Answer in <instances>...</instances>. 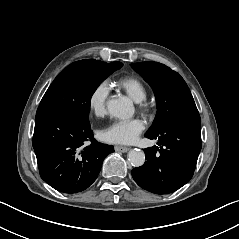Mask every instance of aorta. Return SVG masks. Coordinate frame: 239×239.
I'll use <instances>...</instances> for the list:
<instances>
[{
  "label": "aorta",
  "instance_id": "1",
  "mask_svg": "<svg viewBox=\"0 0 239 239\" xmlns=\"http://www.w3.org/2000/svg\"><path fill=\"white\" fill-rule=\"evenodd\" d=\"M107 108L110 115L122 120L131 118L135 111L132 100L126 96L109 100ZM128 160L133 166H142L145 162V154L141 150L132 149L128 152Z\"/></svg>",
  "mask_w": 239,
  "mask_h": 239
}]
</instances>
